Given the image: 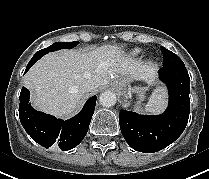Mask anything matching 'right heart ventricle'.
I'll return each instance as SVG.
<instances>
[{
  "mask_svg": "<svg viewBox=\"0 0 209 179\" xmlns=\"http://www.w3.org/2000/svg\"><path fill=\"white\" fill-rule=\"evenodd\" d=\"M141 52H142V50L140 48H134V49L130 50L128 54L131 57H136V56L140 55Z\"/></svg>",
  "mask_w": 209,
  "mask_h": 179,
  "instance_id": "obj_1",
  "label": "right heart ventricle"
}]
</instances>
